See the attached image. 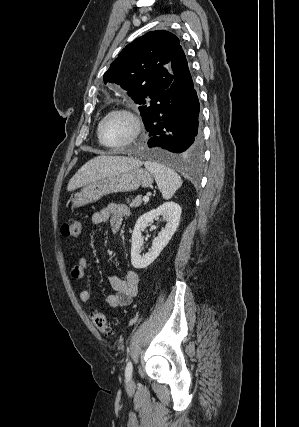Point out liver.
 <instances>
[{
    "label": "liver",
    "instance_id": "1",
    "mask_svg": "<svg viewBox=\"0 0 299 427\" xmlns=\"http://www.w3.org/2000/svg\"><path fill=\"white\" fill-rule=\"evenodd\" d=\"M142 161L123 156L100 155L86 162L70 179L67 190L73 191L106 176L138 168Z\"/></svg>",
    "mask_w": 299,
    "mask_h": 427
}]
</instances>
